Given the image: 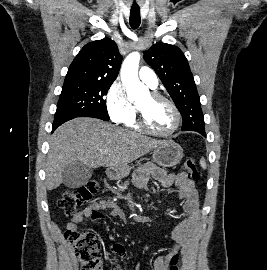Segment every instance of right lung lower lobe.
I'll return each mask as SVG.
<instances>
[{
	"label": "right lung lower lobe",
	"instance_id": "1",
	"mask_svg": "<svg viewBox=\"0 0 267 270\" xmlns=\"http://www.w3.org/2000/svg\"><path fill=\"white\" fill-rule=\"evenodd\" d=\"M86 117H93V118H98V119H101V120H104V121H109V119L104 118L102 116H97V115H90V116H86ZM73 118L74 117H65V116L57 117V116H55L54 123H53V128H52V132L54 130H56V128L59 127L62 123L66 122L68 120H71Z\"/></svg>",
	"mask_w": 267,
	"mask_h": 270
}]
</instances>
